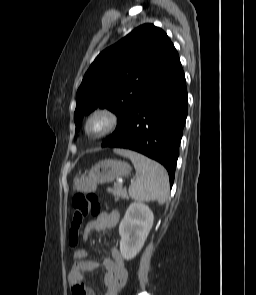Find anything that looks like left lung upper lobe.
<instances>
[{"label":"left lung upper lobe","instance_id":"obj_1","mask_svg":"<svg viewBox=\"0 0 256 295\" xmlns=\"http://www.w3.org/2000/svg\"><path fill=\"white\" fill-rule=\"evenodd\" d=\"M178 53L167 34L152 24L134 29L102 51L84 75L77 91L74 120L97 107L118 117V129L144 98L178 67Z\"/></svg>","mask_w":256,"mask_h":295}]
</instances>
